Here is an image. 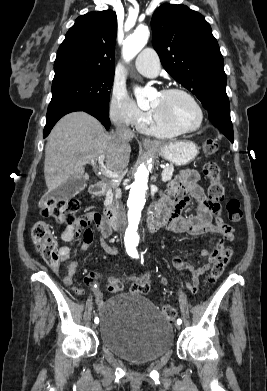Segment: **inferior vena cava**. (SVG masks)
<instances>
[{"mask_svg":"<svg viewBox=\"0 0 267 391\" xmlns=\"http://www.w3.org/2000/svg\"><path fill=\"white\" fill-rule=\"evenodd\" d=\"M115 134L122 139H130L134 137V133L130 130V128L123 124H117ZM120 211V215L118 216V227L120 228V231H123V227L125 226L126 222L122 206H120Z\"/></svg>","mask_w":267,"mask_h":391,"instance_id":"1","label":"inferior vena cava"}]
</instances>
